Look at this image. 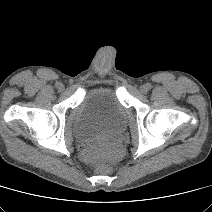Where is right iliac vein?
Listing matches in <instances>:
<instances>
[{
  "mask_svg": "<svg viewBox=\"0 0 212 212\" xmlns=\"http://www.w3.org/2000/svg\"><path fill=\"white\" fill-rule=\"evenodd\" d=\"M58 90H59L60 92H62V91L64 90V86H63L62 84H59Z\"/></svg>",
  "mask_w": 212,
  "mask_h": 212,
  "instance_id": "obj_1",
  "label": "right iliac vein"
}]
</instances>
